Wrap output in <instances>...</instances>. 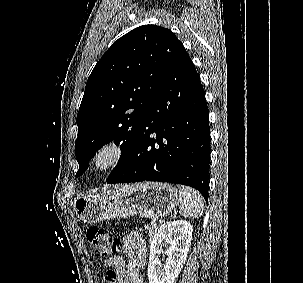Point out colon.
<instances>
[{"label":"colon","instance_id":"5ec220e1","mask_svg":"<svg viewBox=\"0 0 303 283\" xmlns=\"http://www.w3.org/2000/svg\"><path fill=\"white\" fill-rule=\"evenodd\" d=\"M86 238L91 249L98 256H109L121 246V242L111 233L96 226L87 229Z\"/></svg>","mask_w":303,"mask_h":283}]
</instances>
